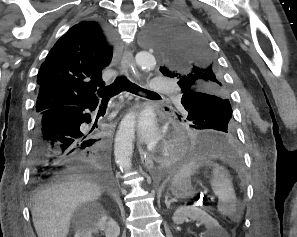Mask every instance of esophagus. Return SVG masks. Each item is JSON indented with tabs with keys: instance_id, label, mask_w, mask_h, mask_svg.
I'll return each instance as SVG.
<instances>
[{
	"instance_id": "1",
	"label": "esophagus",
	"mask_w": 297,
	"mask_h": 237,
	"mask_svg": "<svg viewBox=\"0 0 297 237\" xmlns=\"http://www.w3.org/2000/svg\"><path fill=\"white\" fill-rule=\"evenodd\" d=\"M134 68V60L131 51H126L121 59V72L128 73ZM139 153L141 157L142 164L148 169H152L154 162L152 156L148 154L142 146H139Z\"/></svg>"
}]
</instances>
